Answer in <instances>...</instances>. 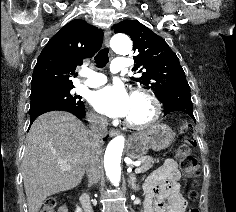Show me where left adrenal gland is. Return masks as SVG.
Wrapping results in <instances>:
<instances>
[{
	"mask_svg": "<svg viewBox=\"0 0 236 212\" xmlns=\"http://www.w3.org/2000/svg\"><path fill=\"white\" fill-rule=\"evenodd\" d=\"M129 177H130L129 185L132 187V189L137 190L138 186L136 185V176H135V174H130Z\"/></svg>",
	"mask_w": 236,
	"mask_h": 212,
	"instance_id": "obj_1",
	"label": "left adrenal gland"
}]
</instances>
